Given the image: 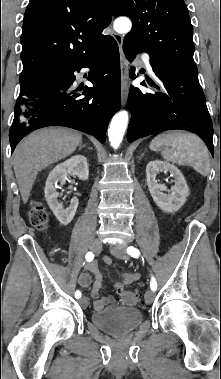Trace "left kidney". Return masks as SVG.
Listing matches in <instances>:
<instances>
[{
    "label": "left kidney",
    "mask_w": 221,
    "mask_h": 379,
    "mask_svg": "<svg viewBox=\"0 0 221 379\" xmlns=\"http://www.w3.org/2000/svg\"><path fill=\"white\" fill-rule=\"evenodd\" d=\"M159 172H170L175 179V185L168 194L164 193L167 187L156 180ZM146 180L154 202L162 211L167 213L178 211L186 202L189 188L183 174L176 166L161 160L150 161L146 166Z\"/></svg>",
    "instance_id": "5707ae66"
}]
</instances>
